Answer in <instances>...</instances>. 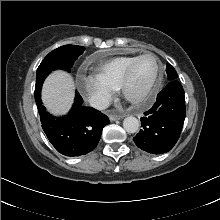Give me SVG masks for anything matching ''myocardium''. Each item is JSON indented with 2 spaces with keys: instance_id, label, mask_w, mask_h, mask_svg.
<instances>
[{
  "instance_id": "obj_1",
  "label": "myocardium",
  "mask_w": 220,
  "mask_h": 220,
  "mask_svg": "<svg viewBox=\"0 0 220 220\" xmlns=\"http://www.w3.org/2000/svg\"><path fill=\"white\" fill-rule=\"evenodd\" d=\"M146 56H152L153 58H155V60L157 62L156 75H155L153 81L147 87V89L140 96L133 97V96L129 95V93H128V88L131 83L132 75H133V72H134V69H135L137 63L142 58H144ZM161 78H162V63H161L159 57L152 52H146V53L140 54L130 63V65L127 67V69L123 75V78L121 80L120 87H119L121 95L123 96V98H125L130 103H132L134 105H141V104L145 103L151 97V95L154 93L157 86L159 85Z\"/></svg>"
}]
</instances>
